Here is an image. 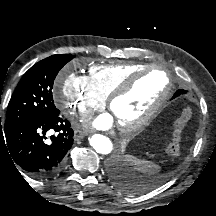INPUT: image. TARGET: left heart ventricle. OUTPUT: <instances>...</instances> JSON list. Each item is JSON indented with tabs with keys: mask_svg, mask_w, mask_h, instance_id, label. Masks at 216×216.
Returning a JSON list of instances; mask_svg holds the SVG:
<instances>
[{
	"mask_svg": "<svg viewBox=\"0 0 216 216\" xmlns=\"http://www.w3.org/2000/svg\"><path fill=\"white\" fill-rule=\"evenodd\" d=\"M167 86L166 76L158 71L140 79L133 90L114 102L111 113L117 123H129L143 116Z\"/></svg>",
	"mask_w": 216,
	"mask_h": 216,
	"instance_id": "b2bd125f",
	"label": "left heart ventricle"
}]
</instances>
